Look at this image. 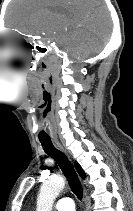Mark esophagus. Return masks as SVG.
Wrapping results in <instances>:
<instances>
[{
	"instance_id": "34e87169",
	"label": "esophagus",
	"mask_w": 133,
	"mask_h": 211,
	"mask_svg": "<svg viewBox=\"0 0 133 211\" xmlns=\"http://www.w3.org/2000/svg\"><path fill=\"white\" fill-rule=\"evenodd\" d=\"M55 145H56L60 150H62L63 152L66 153L65 148L63 147V145H62L60 142L55 141Z\"/></svg>"
}]
</instances>
